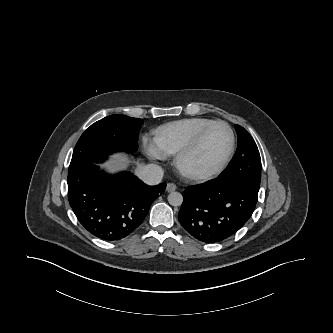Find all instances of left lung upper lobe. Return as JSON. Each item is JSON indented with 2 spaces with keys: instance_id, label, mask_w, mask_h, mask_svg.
I'll list each match as a JSON object with an SVG mask.
<instances>
[{
  "instance_id": "left-lung-upper-lobe-1",
  "label": "left lung upper lobe",
  "mask_w": 333,
  "mask_h": 333,
  "mask_svg": "<svg viewBox=\"0 0 333 333\" xmlns=\"http://www.w3.org/2000/svg\"><path fill=\"white\" fill-rule=\"evenodd\" d=\"M238 148L228 167L217 179H237L259 190L261 180V158L251 135L241 126L235 125Z\"/></svg>"
}]
</instances>
